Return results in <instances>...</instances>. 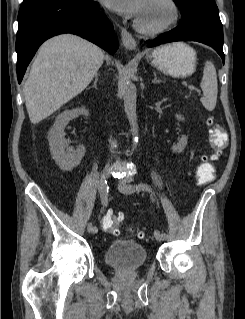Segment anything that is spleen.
Instances as JSON below:
<instances>
[{"label":"spleen","instance_id":"3e777b00","mask_svg":"<svg viewBox=\"0 0 245 319\" xmlns=\"http://www.w3.org/2000/svg\"><path fill=\"white\" fill-rule=\"evenodd\" d=\"M200 87L203 90L200 101L208 111H212L217 102L218 86L216 69L210 61L205 62Z\"/></svg>","mask_w":245,"mask_h":319}]
</instances>
